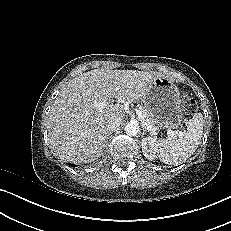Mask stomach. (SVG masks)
<instances>
[{
    "mask_svg": "<svg viewBox=\"0 0 231 231\" xmlns=\"http://www.w3.org/2000/svg\"><path fill=\"white\" fill-rule=\"evenodd\" d=\"M143 108L157 125L163 128H177L184 114L179 89L166 77L153 81L142 99Z\"/></svg>",
    "mask_w": 231,
    "mask_h": 231,
    "instance_id": "1",
    "label": "stomach"
}]
</instances>
